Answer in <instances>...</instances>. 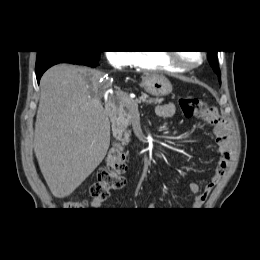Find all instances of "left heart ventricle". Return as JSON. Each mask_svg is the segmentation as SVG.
<instances>
[{
    "instance_id": "left-heart-ventricle-1",
    "label": "left heart ventricle",
    "mask_w": 260,
    "mask_h": 260,
    "mask_svg": "<svg viewBox=\"0 0 260 260\" xmlns=\"http://www.w3.org/2000/svg\"><path fill=\"white\" fill-rule=\"evenodd\" d=\"M179 55L181 59L187 63L196 62L200 58L199 52H195V51H185V52H181Z\"/></svg>"
}]
</instances>
